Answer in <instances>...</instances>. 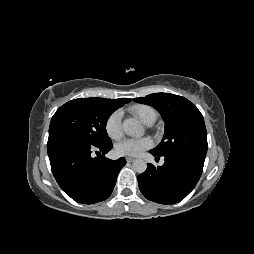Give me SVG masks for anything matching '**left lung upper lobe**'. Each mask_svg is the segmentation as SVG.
Wrapping results in <instances>:
<instances>
[{
  "instance_id": "left-lung-upper-lobe-1",
  "label": "left lung upper lobe",
  "mask_w": 254,
  "mask_h": 254,
  "mask_svg": "<svg viewBox=\"0 0 254 254\" xmlns=\"http://www.w3.org/2000/svg\"><path fill=\"white\" fill-rule=\"evenodd\" d=\"M135 102L154 107L165 122L161 143L152 151L159 156L183 150L207 153V132L203 116L198 108L182 96L155 93Z\"/></svg>"
}]
</instances>
